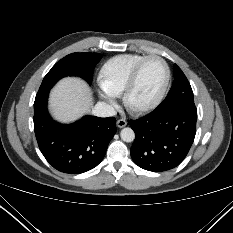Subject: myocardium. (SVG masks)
Listing matches in <instances>:
<instances>
[{
    "mask_svg": "<svg viewBox=\"0 0 233 233\" xmlns=\"http://www.w3.org/2000/svg\"><path fill=\"white\" fill-rule=\"evenodd\" d=\"M150 59H158L160 62H162L165 68L164 83H163L161 90L159 91V93L156 95V97L152 101L144 105H135L132 103L131 97L137 85V81H138L141 68L144 65V63ZM170 78H171L170 68L167 62L161 56L156 55V54H150V55L143 57L133 68L129 76L128 82L125 86V89L123 91V102H124L125 107L134 114H144V113L154 110L156 107L160 105V103L164 99L167 93L168 87H169Z\"/></svg>",
    "mask_w": 233,
    "mask_h": 233,
    "instance_id": "myocardium-1",
    "label": "myocardium"
}]
</instances>
